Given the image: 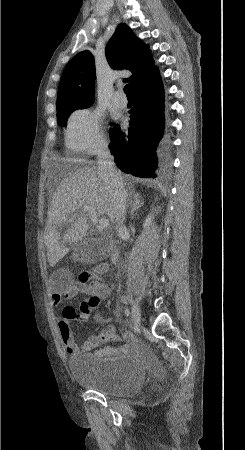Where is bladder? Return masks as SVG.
Returning <instances> with one entry per match:
<instances>
[{
    "mask_svg": "<svg viewBox=\"0 0 245 450\" xmlns=\"http://www.w3.org/2000/svg\"><path fill=\"white\" fill-rule=\"evenodd\" d=\"M68 365L77 384L105 396H134L145 382L142 363L134 355H82L69 358Z\"/></svg>",
    "mask_w": 245,
    "mask_h": 450,
    "instance_id": "1",
    "label": "bladder"
}]
</instances>
